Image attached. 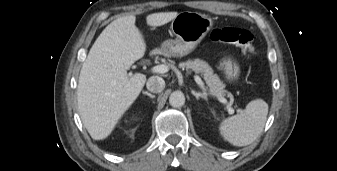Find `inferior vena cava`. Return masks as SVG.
<instances>
[{"mask_svg": "<svg viewBox=\"0 0 337 171\" xmlns=\"http://www.w3.org/2000/svg\"><path fill=\"white\" fill-rule=\"evenodd\" d=\"M146 87L153 93H160L165 88V81L159 76H152L148 79Z\"/></svg>", "mask_w": 337, "mask_h": 171, "instance_id": "602c4592", "label": "inferior vena cava"}]
</instances>
